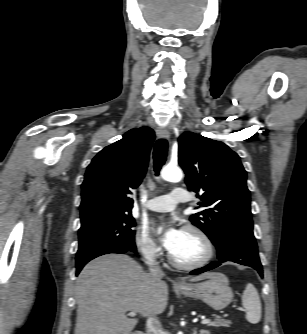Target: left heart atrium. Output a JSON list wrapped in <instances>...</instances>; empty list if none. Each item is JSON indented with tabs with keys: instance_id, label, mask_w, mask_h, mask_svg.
<instances>
[{
	"instance_id": "1",
	"label": "left heart atrium",
	"mask_w": 307,
	"mask_h": 334,
	"mask_svg": "<svg viewBox=\"0 0 307 334\" xmlns=\"http://www.w3.org/2000/svg\"><path fill=\"white\" fill-rule=\"evenodd\" d=\"M183 233L184 231L175 222L167 221L163 224L161 242L169 252H173L180 245Z\"/></svg>"
}]
</instances>
